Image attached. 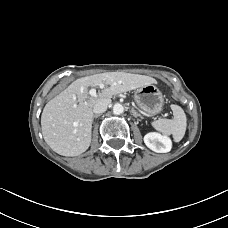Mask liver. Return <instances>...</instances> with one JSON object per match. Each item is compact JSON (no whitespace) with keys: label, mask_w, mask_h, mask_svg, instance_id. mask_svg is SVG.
<instances>
[{"label":"liver","mask_w":228,"mask_h":228,"mask_svg":"<svg viewBox=\"0 0 228 228\" xmlns=\"http://www.w3.org/2000/svg\"><path fill=\"white\" fill-rule=\"evenodd\" d=\"M157 81L145 75L105 72L77 79L50 100L41 115L42 134L47 145L63 156H77L91 143L93 107L113 95L138 89ZM104 85L96 97L88 88Z\"/></svg>","instance_id":"6515ba94"}]
</instances>
